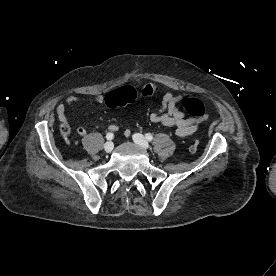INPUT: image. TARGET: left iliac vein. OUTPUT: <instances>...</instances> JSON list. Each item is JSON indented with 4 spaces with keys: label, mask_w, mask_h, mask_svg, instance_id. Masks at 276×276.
I'll list each match as a JSON object with an SVG mask.
<instances>
[{
    "label": "left iliac vein",
    "mask_w": 276,
    "mask_h": 276,
    "mask_svg": "<svg viewBox=\"0 0 276 276\" xmlns=\"http://www.w3.org/2000/svg\"><path fill=\"white\" fill-rule=\"evenodd\" d=\"M133 140L136 144L140 145L144 149H147L149 147L148 141L145 139V137L140 133H135L133 135Z\"/></svg>",
    "instance_id": "obj_1"
}]
</instances>
